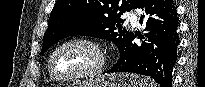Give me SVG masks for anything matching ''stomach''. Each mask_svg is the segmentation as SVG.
Here are the masks:
<instances>
[{
	"label": "stomach",
	"instance_id": "stomach-1",
	"mask_svg": "<svg viewBox=\"0 0 205 87\" xmlns=\"http://www.w3.org/2000/svg\"><path fill=\"white\" fill-rule=\"evenodd\" d=\"M74 87H149L148 82L135 74H108L90 79Z\"/></svg>",
	"mask_w": 205,
	"mask_h": 87
}]
</instances>
